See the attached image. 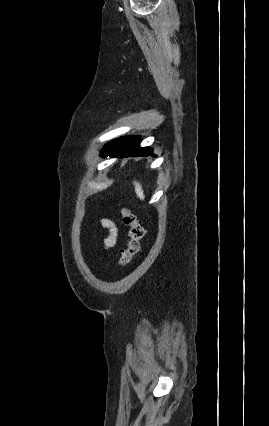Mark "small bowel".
I'll return each instance as SVG.
<instances>
[{
    "mask_svg": "<svg viewBox=\"0 0 269 426\" xmlns=\"http://www.w3.org/2000/svg\"><path fill=\"white\" fill-rule=\"evenodd\" d=\"M100 224L108 231V234L103 242V247L105 250H110L115 246L117 241V228L111 220L105 218L101 219Z\"/></svg>",
    "mask_w": 269,
    "mask_h": 426,
    "instance_id": "c3829d8e",
    "label": "small bowel"
}]
</instances>
